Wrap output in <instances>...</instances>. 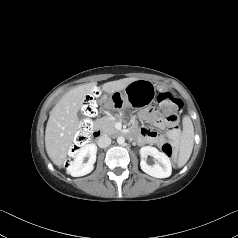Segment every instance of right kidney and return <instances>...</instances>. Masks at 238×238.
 <instances>
[{
	"label": "right kidney",
	"instance_id": "obj_1",
	"mask_svg": "<svg viewBox=\"0 0 238 238\" xmlns=\"http://www.w3.org/2000/svg\"><path fill=\"white\" fill-rule=\"evenodd\" d=\"M96 153L97 146L95 144H87L80 148L69 166L68 172L74 177L84 176L92 172L96 161ZM86 157H88V161L84 163L83 160Z\"/></svg>",
	"mask_w": 238,
	"mask_h": 238
}]
</instances>
